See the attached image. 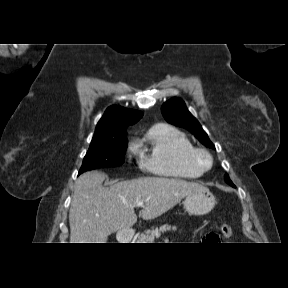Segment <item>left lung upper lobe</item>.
Wrapping results in <instances>:
<instances>
[{
    "mask_svg": "<svg viewBox=\"0 0 288 288\" xmlns=\"http://www.w3.org/2000/svg\"><path fill=\"white\" fill-rule=\"evenodd\" d=\"M161 110L166 121L173 125L186 128L193 133L202 144L215 149L206 132L202 129L196 118L188 111L185 103L181 99H170L162 105ZM225 181L229 185L233 184L227 174H225Z\"/></svg>",
    "mask_w": 288,
    "mask_h": 288,
    "instance_id": "obj_1",
    "label": "left lung upper lobe"
}]
</instances>
